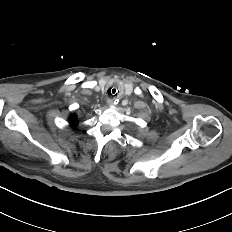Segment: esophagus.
I'll return each mask as SVG.
<instances>
[{"mask_svg": "<svg viewBox=\"0 0 232 232\" xmlns=\"http://www.w3.org/2000/svg\"><path fill=\"white\" fill-rule=\"evenodd\" d=\"M108 104L112 105L113 104V100H108Z\"/></svg>", "mask_w": 232, "mask_h": 232, "instance_id": "obj_1", "label": "esophagus"}]
</instances>
